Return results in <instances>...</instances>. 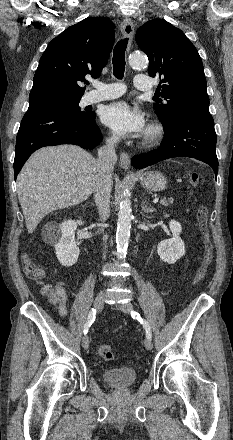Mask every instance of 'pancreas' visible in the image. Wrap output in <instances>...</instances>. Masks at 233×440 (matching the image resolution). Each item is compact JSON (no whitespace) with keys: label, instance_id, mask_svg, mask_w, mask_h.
<instances>
[{"label":"pancreas","instance_id":"obj_1","mask_svg":"<svg viewBox=\"0 0 233 440\" xmlns=\"http://www.w3.org/2000/svg\"><path fill=\"white\" fill-rule=\"evenodd\" d=\"M162 205H164V206H168L169 204H172L173 203V198H168V200H162L161 202H160Z\"/></svg>","mask_w":233,"mask_h":440}]
</instances>
